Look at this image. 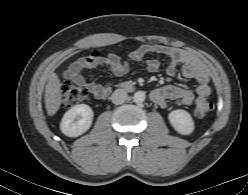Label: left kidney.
<instances>
[{"mask_svg":"<svg viewBox=\"0 0 248 195\" xmlns=\"http://www.w3.org/2000/svg\"><path fill=\"white\" fill-rule=\"evenodd\" d=\"M168 119L173 128L182 135H189L194 131V121L185 110L177 109L171 111Z\"/></svg>","mask_w":248,"mask_h":195,"instance_id":"obj_1","label":"left kidney"}]
</instances>
